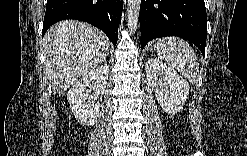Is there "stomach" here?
<instances>
[{
	"mask_svg": "<svg viewBox=\"0 0 247 156\" xmlns=\"http://www.w3.org/2000/svg\"><path fill=\"white\" fill-rule=\"evenodd\" d=\"M157 50L156 47L154 46V51Z\"/></svg>",
	"mask_w": 247,
	"mask_h": 156,
	"instance_id": "0dacf381",
	"label": "stomach"
}]
</instances>
